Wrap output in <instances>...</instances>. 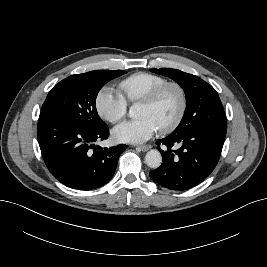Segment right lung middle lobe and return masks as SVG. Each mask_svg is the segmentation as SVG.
Masks as SVG:
<instances>
[{"instance_id":"1","label":"right lung middle lobe","mask_w":267,"mask_h":267,"mask_svg":"<svg viewBox=\"0 0 267 267\" xmlns=\"http://www.w3.org/2000/svg\"><path fill=\"white\" fill-rule=\"evenodd\" d=\"M127 73L122 70H95L71 75L55 85L42 105V111L60 115L90 130L107 127L96 110V97L110 80Z\"/></svg>"}]
</instances>
